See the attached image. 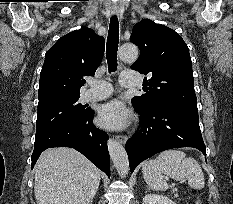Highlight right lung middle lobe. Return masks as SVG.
Instances as JSON below:
<instances>
[{
    "instance_id": "1",
    "label": "right lung middle lobe",
    "mask_w": 233,
    "mask_h": 204,
    "mask_svg": "<svg viewBox=\"0 0 233 204\" xmlns=\"http://www.w3.org/2000/svg\"><path fill=\"white\" fill-rule=\"evenodd\" d=\"M79 97V95L57 96L39 101L36 135L86 116L90 109H85L84 105L78 103Z\"/></svg>"
}]
</instances>
